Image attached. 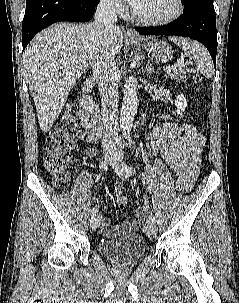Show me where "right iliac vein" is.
I'll use <instances>...</instances> for the list:
<instances>
[{"label": "right iliac vein", "instance_id": "right-iliac-vein-1", "mask_svg": "<svg viewBox=\"0 0 239 303\" xmlns=\"http://www.w3.org/2000/svg\"><path fill=\"white\" fill-rule=\"evenodd\" d=\"M105 160L107 163L112 164L114 162V158L110 155H106L105 156ZM100 222H101V215L97 214L95 216H92L91 220H90V227L95 230L100 226Z\"/></svg>", "mask_w": 239, "mask_h": 303}]
</instances>
